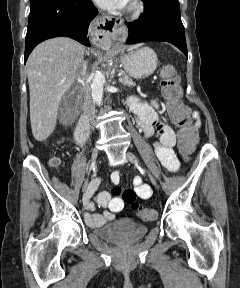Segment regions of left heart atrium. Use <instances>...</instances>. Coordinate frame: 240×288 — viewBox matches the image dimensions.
<instances>
[{"label": "left heart atrium", "instance_id": "39dd6f15", "mask_svg": "<svg viewBox=\"0 0 240 288\" xmlns=\"http://www.w3.org/2000/svg\"><path fill=\"white\" fill-rule=\"evenodd\" d=\"M100 7L110 10L116 11L123 9L129 0H94Z\"/></svg>", "mask_w": 240, "mask_h": 288}]
</instances>
